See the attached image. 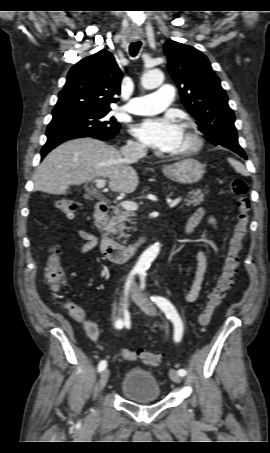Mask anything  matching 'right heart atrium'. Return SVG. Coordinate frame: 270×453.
Listing matches in <instances>:
<instances>
[{"mask_svg": "<svg viewBox=\"0 0 270 453\" xmlns=\"http://www.w3.org/2000/svg\"><path fill=\"white\" fill-rule=\"evenodd\" d=\"M128 147L135 150H142L144 148V146L140 142L134 140L128 142Z\"/></svg>", "mask_w": 270, "mask_h": 453, "instance_id": "1", "label": "right heart atrium"}]
</instances>
